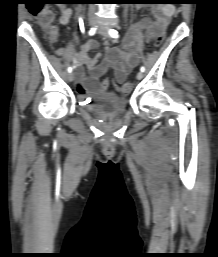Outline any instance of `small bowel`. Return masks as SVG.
Instances as JSON below:
<instances>
[{"mask_svg":"<svg viewBox=\"0 0 218 257\" xmlns=\"http://www.w3.org/2000/svg\"><path fill=\"white\" fill-rule=\"evenodd\" d=\"M153 13L154 19L145 17L134 26L122 48L107 46V56L103 61L99 62L100 53L97 52L99 44L94 39L88 40L70 56L76 69L77 89L81 95H85L88 91L94 94L104 93L105 90H99V85L102 82L100 79L110 69L114 71L116 82L119 84L125 82L128 74L138 64L139 34L143 32L146 41L155 40L158 36L157 31L168 26L174 13V7L172 5L157 6L153 8ZM72 14L71 8H63L59 18L60 23L67 24ZM90 52L93 54L90 55ZM82 66L88 68V73L83 70ZM118 94H122V89H119Z\"/></svg>","mask_w":218,"mask_h":257,"instance_id":"small-bowel-1","label":"small bowel"}]
</instances>
